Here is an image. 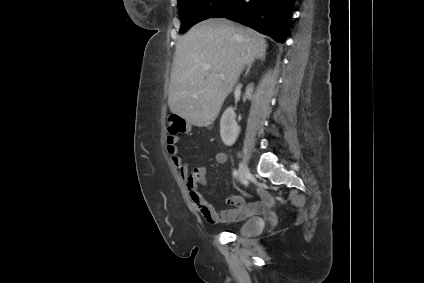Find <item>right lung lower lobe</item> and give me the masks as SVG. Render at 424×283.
<instances>
[{
	"label": "right lung lower lobe",
	"mask_w": 424,
	"mask_h": 283,
	"mask_svg": "<svg viewBox=\"0 0 424 283\" xmlns=\"http://www.w3.org/2000/svg\"><path fill=\"white\" fill-rule=\"evenodd\" d=\"M295 0H230L211 18H227L283 43Z\"/></svg>",
	"instance_id": "1"
}]
</instances>
